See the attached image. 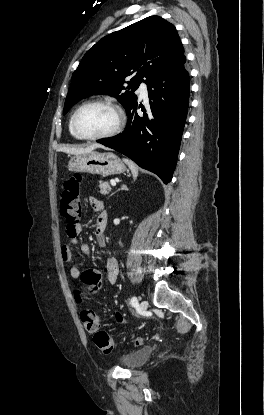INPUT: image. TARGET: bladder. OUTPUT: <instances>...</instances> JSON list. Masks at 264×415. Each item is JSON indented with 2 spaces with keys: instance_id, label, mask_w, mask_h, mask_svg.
<instances>
[{
  "instance_id": "31cf9c89",
  "label": "bladder",
  "mask_w": 264,
  "mask_h": 415,
  "mask_svg": "<svg viewBox=\"0 0 264 415\" xmlns=\"http://www.w3.org/2000/svg\"><path fill=\"white\" fill-rule=\"evenodd\" d=\"M153 354L152 346L140 348L134 352L125 355L121 359V363L128 369H134L145 364Z\"/></svg>"
}]
</instances>
